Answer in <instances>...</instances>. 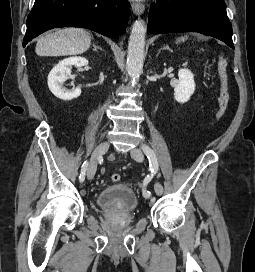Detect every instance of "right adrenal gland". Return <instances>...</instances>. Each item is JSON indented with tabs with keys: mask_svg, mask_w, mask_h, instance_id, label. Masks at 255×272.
Segmentation results:
<instances>
[{
	"mask_svg": "<svg viewBox=\"0 0 255 272\" xmlns=\"http://www.w3.org/2000/svg\"><path fill=\"white\" fill-rule=\"evenodd\" d=\"M94 50L96 51L97 49H100L102 51V48L96 46L95 44H93Z\"/></svg>",
	"mask_w": 255,
	"mask_h": 272,
	"instance_id": "1",
	"label": "right adrenal gland"
}]
</instances>
